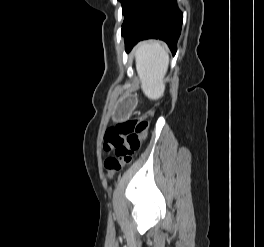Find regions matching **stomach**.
I'll return each mask as SVG.
<instances>
[{
	"mask_svg": "<svg viewBox=\"0 0 264 247\" xmlns=\"http://www.w3.org/2000/svg\"><path fill=\"white\" fill-rule=\"evenodd\" d=\"M121 105L118 106L116 110L115 117L117 120H122L125 118H133V113L130 108H134L135 95L134 94H123Z\"/></svg>",
	"mask_w": 264,
	"mask_h": 247,
	"instance_id": "1",
	"label": "stomach"
}]
</instances>
